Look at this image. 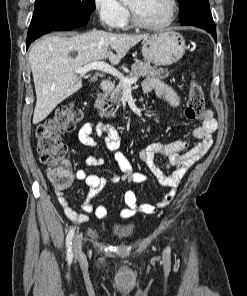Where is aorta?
<instances>
[{
  "instance_id": "1",
  "label": "aorta",
  "mask_w": 247,
  "mask_h": 296,
  "mask_svg": "<svg viewBox=\"0 0 247 296\" xmlns=\"http://www.w3.org/2000/svg\"><path fill=\"white\" fill-rule=\"evenodd\" d=\"M121 2H126L127 0H120Z\"/></svg>"
}]
</instances>
